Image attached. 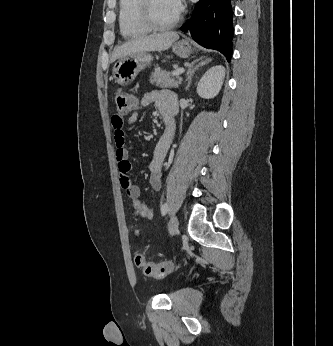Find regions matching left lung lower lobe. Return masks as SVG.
I'll list each match as a JSON object with an SVG mask.
<instances>
[{
    "label": "left lung lower lobe",
    "instance_id": "1",
    "mask_svg": "<svg viewBox=\"0 0 333 346\" xmlns=\"http://www.w3.org/2000/svg\"><path fill=\"white\" fill-rule=\"evenodd\" d=\"M181 30L189 31L200 45L220 51L230 62L234 35L231 0H200Z\"/></svg>",
    "mask_w": 333,
    "mask_h": 346
}]
</instances>
